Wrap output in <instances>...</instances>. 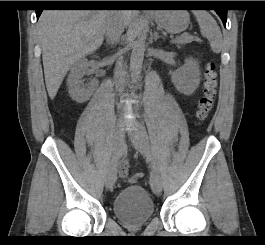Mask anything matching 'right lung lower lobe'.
Masks as SVG:
<instances>
[{
	"instance_id": "obj_1",
	"label": "right lung lower lobe",
	"mask_w": 265,
	"mask_h": 245,
	"mask_svg": "<svg viewBox=\"0 0 265 245\" xmlns=\"http://www.w3.org/2000/svg\"><path fill=\"white\" fill-rule=\"evenodd\" d=\"M129 3L125 1H81L79 4H70V3H51L50 6H60V7H71L78 6L82 8L86 7H123L128 6ZM43 9L36 10L37 19L41 15Z\"/></svg>"
}]
</instances>
